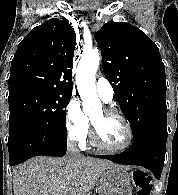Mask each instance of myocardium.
<instances>
[{
    "label": "myocardium",
    "instance_id": "myocardium-1",
    "mask_svg": "<svg viewBox=\"0 0 178 195\" xmlns=\"http://www.w3.org/2000/svg\"><path fill=\"white\" fill-rule=\"evenodd\" d=\"M103 111H104V114L106 116L117 118L124 124V126L127 130V133H128V139H127L126 143L122 146H119V147L109 146V145L105 144L100 139L97 127L94 124V122L92 121V133H91V135H92L93 143L96 146H98V147H100L104 150L111 151V152H121V151H125L128 148H130V146L132 145L133 140H134V132H133L132 126L130 125L129 121L126 119V117H124L122 114H120L118 111H116L112 108L106 107V108L103 109Z\"/></svg>",
    "mask_w": 178,
    "mask_h": 195
}]
</instances>
